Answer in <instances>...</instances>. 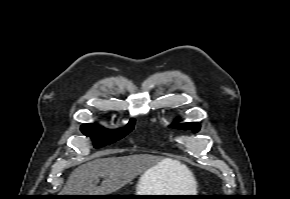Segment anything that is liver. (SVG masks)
<instances>
[{"label": "liver", "mask_w": 290, "mask_h": 199, "mask_svg": "<svg viewBox=\"0 0 290 199\" xmlns=\"http://www.w3.org/2000/svg\"><path fill=\"white\" fill-rule=\"evenodd\" d=\"M158 166L159 177L166 178L171 192L193 189L194 178L186 165L170 158L147 154L97 158L80 165L70 174L62 195H109L116 192L139 174ZM103 178L101 186H97Z\"/></svg>", "instance_id": "obj_1"}]
</instances>
